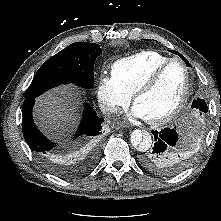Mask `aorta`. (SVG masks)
<instances>
[{
	"label": "aorta",
	"instance_id": "1",
	"mask_svg": "<svg viewBox=\"0 0 221 221\" xmlns=\"http://www.w3.org/2000/svg\"><path fill=\"white\" fill-rule=\"evenodd\" d=\"M132 145L141 152L147 151L152 144V137L147 131L133 130L130 136Z\"/></svg>",
	"mask_w": 221,
	"mask_h": 221
}]
</instances>
